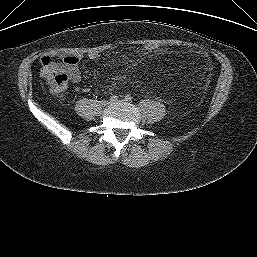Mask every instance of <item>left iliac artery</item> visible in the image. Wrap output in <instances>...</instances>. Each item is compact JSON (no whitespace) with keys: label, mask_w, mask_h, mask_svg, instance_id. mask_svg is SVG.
Returning <instances> with one entry per match:
<instances>
[{"label":"left iliac artery","mask_w":257,"mask_h":257,"mask_svg":"<svg viewBox=\"0 0 257 257\" xmlns=\"http://www.w3.org/2000/svg\"><path fill=\"white\" fill-rule=\"evenodd\" d=\"M125 100L126 101H132V96L129 95V94L125 95Z\"/></svg>","instance_id":"44dca946"}]
</instances>
